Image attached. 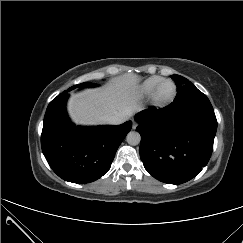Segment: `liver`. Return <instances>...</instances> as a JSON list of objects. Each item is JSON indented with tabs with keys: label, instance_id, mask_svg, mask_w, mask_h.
<instances>
[{
	"label": "liver",
	"instance_id": "liver-1",
	"mask_svg": "<svg viewBox=\"0 0 243 243\" xmlns=\"http://www.w3.org/2000/svg\"><path fill=\"white\" fill-rule=\"evenodd\" d=\"M139 82V76L129 73L113 78L102 88L72 94L68 112L75 123L82 125L106 123V117L111 115H124L128 119L141 109Z\"/></svg>",
	"mask_w": 243,
	"mask_h": 243
}]
</instances>
